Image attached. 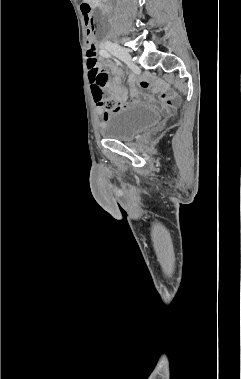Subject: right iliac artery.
Instances as JSON below:
<instances>
[{"instance_id":"right-iliac-artery-1","label":"right iliac artery","mask_w":241,"mask_h":379,"mask_svg":"<svg viewBox=\"0 0 241 379\" xmlns=\"http://www.w3.org/2000/svg\"><path fill=\"white\" fill-rule=\"evenodd\" d=\"M100 55L105 57V58L111 57V55L105 49L100 50Z\"/></svg>"}]
</instances>
